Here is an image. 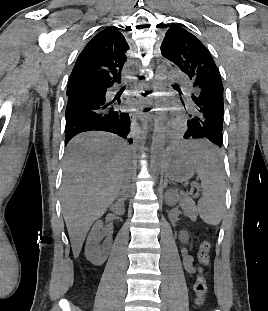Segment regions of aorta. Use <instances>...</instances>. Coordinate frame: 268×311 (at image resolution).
Returning <instances> with one entry per match:
<instances>
[{
	"mask_svg": "<svg viewBox=\"0 0 268 311\" xmlns=\"http://www.w3.org/2000/svg\"><path fill=\"white\" fill-rule=\"evenodd\" d=\"M154 86L156 92L154 97L155 110V130L151 146V173L156 178L159 175L161 161L164 157V150L167 140L166 135V100H165V83L169 77L168 68L165 65H154Z\"/></svg>",
	"mask_w": 268,
	"mask_h": 311,
	"instance_id": "aorta-1",
	"label": "aorta"
}]
</instances>
